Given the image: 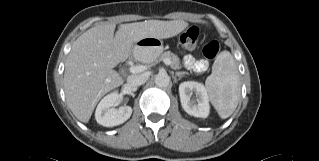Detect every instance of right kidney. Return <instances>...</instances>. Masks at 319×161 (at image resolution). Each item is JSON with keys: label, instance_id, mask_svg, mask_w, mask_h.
Returning a JSON list of instances; mask_svg holds the SVG:
<instances>
[{"label": "right kidney", "instance_id": "ca27d5eb", "mask_svg": "<svg viewBox=\"0 0 319 161\" xmlns=\"http://www.w3.org/2000/svg\"><path fill=\"white\" fill-rule=\"evenodd\" d=\"M120 97L119 93L113 92L100 101L95 111V119L98 124L105 127H113L124 123L130 118L132 114L130 106L113 108L120 101Z\"/></svg>", "mask_w": 319, "mask_h": 161}]
</instances>
